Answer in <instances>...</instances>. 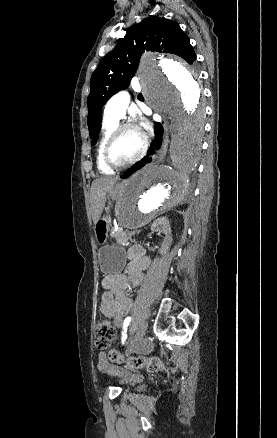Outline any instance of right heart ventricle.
<instances>
[{"instance_id": "obj_1", "label": "right heart ventricle", "mask_w": 277, "mask_h": 438, "mask_svg": "<svg viewBox=\"0 0 277 438\" xmlns=\"http://www.w3.org/2000/svg\"><path fill=\"white\" fill-rule=\"evenodd\" d=\"M116 125H117V121L109 120V119H104V122L102 125L101 137H100L98 150H97V153H98L97 166H98L99 171L102 174L113 173V170L111 168H109L103 160V149H104V146L106 144L108 137L110 136L111 132L114 130Z\"/></svg>"}]
</instances>
